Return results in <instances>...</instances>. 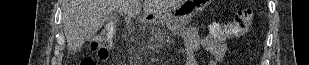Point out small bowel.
<instances>
[{
	"label": "small bowel",
	"mask_w": 309,
	"mask_h": 65,
	"mask_svg": "<svg viewBox=\"0 0 309 65\" xmlns=\"http://www.w3.org/2000/svg\"><path fill=\"white\" fill-rule=\"evenodd\" d=\"M183 42L186 53L184 65H201L202 62L196 57V52L200 47L205 48L210 53V59L205 65L221 64L228 52V45L224 41H219L210 35H200L197 29L187 27L183 33Z\"/></svg>",
	"instance_id": "obj_1"
}]
</instances>
